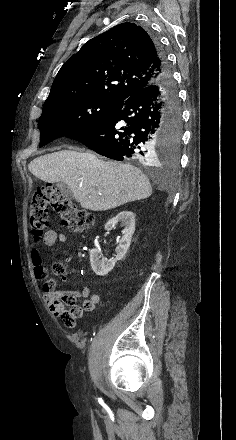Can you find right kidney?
I'll return each mask as SVG.
<instances>
[{
    "label": "right kidney",
    "instance_id": "ca27d5eb",
    "mask_svg": "<svg viewBox=\"0 0 236 440\" xmlns=\"http://www.w3.org/2000/svg\"><path fill=\"white\" fill-rule=\"evenodd\" d=\"M118 223H121V226L124 227V229L122 230V238L116 248L115 258L108 260L107 258L102 257L101 250L97 248L90 251L91 268L96 275H107L114 268L116 262L125 257L130 247L132 235L135 231L134 213L131 211H122L118 213L105 224V229L110 231L114 229Z\"/></svg>",
    "mask_w": 236,
    "mask_h": 440
}]
</instances>
